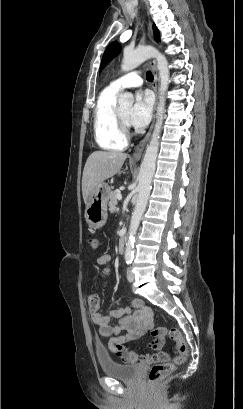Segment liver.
<instances>
[{"label":"liver","mask_w":243,"mask_h":409,"mask_svg":"<svg viewBox=\"0 0 243 409\" xmlns=\"http://www.w3.org/2000/svg\"><path fill=\"white\" fill-rule=\"evenodd\" d=\"M126 158V153L116 151H94L90 154L82 177V194L85 203L97 187L120 171Z\"/></svg>","instance_id":"liver-1"}]
</instances>
